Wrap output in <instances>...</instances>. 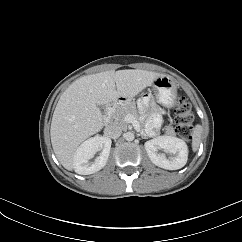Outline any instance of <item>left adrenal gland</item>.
<instances>
[{"instance_id": "obj_1", "label": "left adrenal gland", "mask_w": 242, "mask_h": 242, "mask_svg": "<svg viewBox=\"0 0 242 242\" xmlns=\"http://www.w3.org/2000/svg\"><path fill=\"white\" fill-rule=\"evenodd\" d=\"M142 139H147L148 137L146 135H141Z\"/></svg>"}]
</instances>
